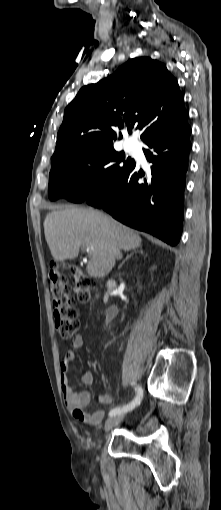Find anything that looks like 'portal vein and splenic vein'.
<instances>
[{"instance_id": "1", "label": "portal vein and splenic vein", "mask_w": 221, "mask_h": 510, "mask_svg": "<svg viewBox=\"0 0 221 510\" xmlns=\"http://www.w3.org/2000/svg\"><path fill=\"white\" fill-rule=\"evenodd\" d=\"M87 250H88V251H93V250H94V248H92V247H91V248H88Z\"/></svg>"}]
</instances>
